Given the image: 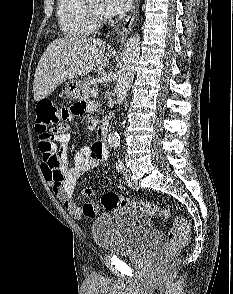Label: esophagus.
I'll list each match as a JSON object with an SVG mask.
<instances>
[{
  "mask_svg": "<svg viewBox=\"0 0 233 294\" xmlns=\"http://www.w3.org/2000/svg\"><path fill=\"white\" fill-rule=\"evenodd\" d=\"M138 13H139V0H135V4L131 10V13L126 18L124 25L122 27V31L119 37V42L123 43L126 40Z\"/></svg>",
  "mask_w": 233,
  "mask_h": 294,
  "instance_id": "1",
  "label": "esophagus"
}]
</instances>
